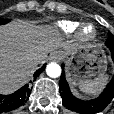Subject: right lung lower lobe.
<instances>
[{
    "instance_id": "98d812e1",
    "label": "right lung lower lobe",
    "mask_w": 114,
    "mask_h": 114,
    "mask_svg": "<svg viewBox=\"0 0 114 114\" xmlns=\"http://www.w3.org/2000/svg\"><path fill=\"white\" fill-rule=\"evenodd\" d=\"M44 64L40 69L34 73V79H36L45 69ZM31 89L28 84L17 90L10 95H0V113L12 111L22 106L29 98Z\"/></svg>"
}]
</instances>
